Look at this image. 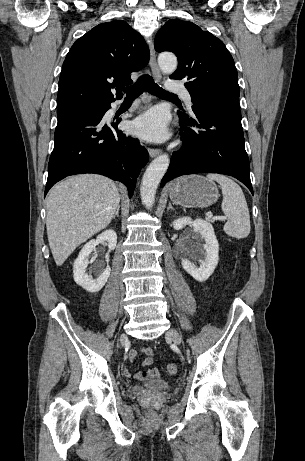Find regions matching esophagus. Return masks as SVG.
<instances>
[{
	"instance_id": "esophagus-1",
	"label": "esophagus",
	"mask_w": 305,
	"mask_h": 461,
	"mask_svg": "<svg viewBox=\"0 0 305 461\" xmlns=\"http://www.w3.org/2000/svg\"><path fill=\"white\" fill-rule=\"evenodd\" d=\"M149 48H150V61H149L150 68H151L153 77L157 81H160L161 80V73H160L159 67H158L157 62H156V55H155V51H154V45H153L152 42H150ZM148 152H149L150 157H156L161 153V149L149 148Z\"/></svg>"
}]
</instances>
